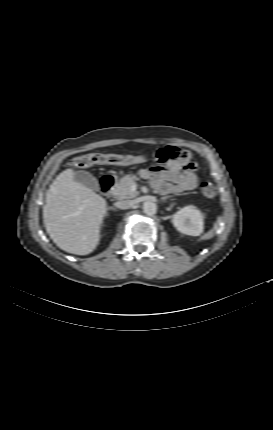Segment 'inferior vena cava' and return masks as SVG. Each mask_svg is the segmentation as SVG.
I'll return each mask as SVG.
<instances>
[{
    "label": "inferior vena cava",
    "instance_id": "1",
    "mask_svg": "<svg viewBox=\"0 0 273 430\" xmlns=\"http://www.w3.org/2000/svg\"><path fill=\"white\" fill-rule=\"evenodd\" d=\"M114 205L120 209H129L130 207H132L133 204L130 200H121L117 201Z\"/></svg>",
    "mask_w": 273,
    "mask_h": 430
}]
</instances>
